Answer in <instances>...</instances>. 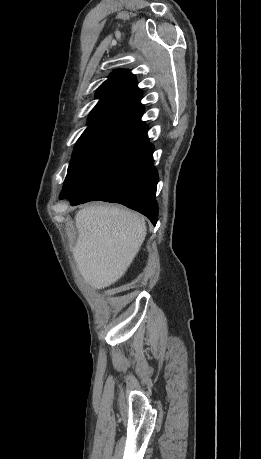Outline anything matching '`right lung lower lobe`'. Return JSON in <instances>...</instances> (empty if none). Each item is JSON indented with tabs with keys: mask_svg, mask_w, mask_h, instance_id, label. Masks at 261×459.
I'll use <instances>...</instances> for the list:
<instances>
[{
	"mask_svg": "<svg viewBox=\"0 0 261 459\" xmlns=\"http://www.w3.org/2000/svg\"><path fill=\"white\" fill-rule=\"evenodd\" d=\"M153 146L148 139L112 170L96 181L82 196L67 198L72 205L93 200L121 203L147 216L155 225L158 183L153 166Z\"/></svg>",
	"mask_w": 261,
	"mask_h": 459,
	"instance_id": "98d812e1",
	"label": "right lung lower lobe"
}]
</instances>
